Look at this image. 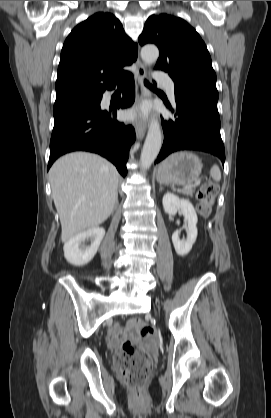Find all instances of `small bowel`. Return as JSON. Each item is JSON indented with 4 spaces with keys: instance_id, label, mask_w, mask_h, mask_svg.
<instances>
[{
    "instance_id": "small-bowel-1",
    "label": "small bowel",
    "mask_w": 271,
    "mask_h": 418,
    "mask_svg": "<svg viewBox=\"0 0 271 418\" xmlns=\"http://www.w3.org/2000/svg\"><path fill=\"white\" fill-rule=\"evenodd\" d=\"M131 325H134V322L131 323ZM121 336H122V333L119 330L115 329L112 332V335L110 337V344L111 345L117 344V342L119 341V339L121 338Z\"/></svg>"
}]
</instances>
